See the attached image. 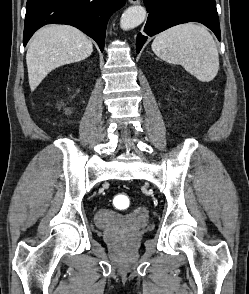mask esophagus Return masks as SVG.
<instances>
[{"instance_id": "esophagus-1", "label": "esophagus", "mask_w": 249, "mask_h": 294, "mask_svg": "<svg viewBox=\"0 0 249 294\" xmlns=\"http://www.w3.org/2000/svg\"><path fill=\"white\" fill-rule=\"evenodd\" d=\"M131 4H139L140 0H129Z\"/></svg>"}]
</instances>
